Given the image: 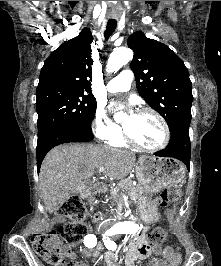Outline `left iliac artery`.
<instances>
[{
  "label": "left iliac artery",
  "mask_w": 221,
  "mask_h": 266,
  "mask_svg": "<svg viewBox=\"0 0 221 266\" xmlns=\"http://www.w3.org/2000/svg\"><path fill=\"white\" fill-rule=\"evenodd\" d=\"M115 233L113 232H107L106 235L107 236H111V235H114ZM104 238V244L105 246L107 247V249L109 250H116V243L112 240H110L108 237H103Z\"/></svg>",
  "instance_id": "44dca946"
}]
</instances>
